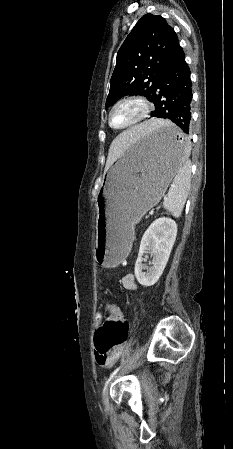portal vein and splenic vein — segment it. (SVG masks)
<instances>
[{
    "label": "portal vein and splenic vein",
    "mask_w": 233,
    "mask_h": 449,
    "mask_svg": "<svg viewBox=\"0 0 233 449\" xmlns=\"http://www.w3.org/2000/svg\"><path fill=\"white\" fill-rule=\"evenodd\" d=\"M149 214H150V215H153V214H154V210H151V211L149 212Z\"/></svg>",
    "instance_id": "portal-vein-and-splenic-vein-1"
}]
</instances>
